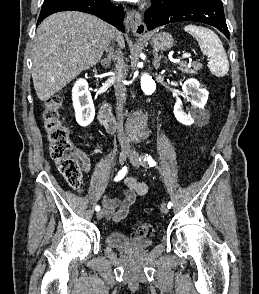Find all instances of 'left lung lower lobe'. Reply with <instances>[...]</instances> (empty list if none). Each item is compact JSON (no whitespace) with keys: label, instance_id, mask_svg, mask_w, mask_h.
<instances>
[{"label":"left lung lower lobe","instance_id":"left-lung-lower-lobe-1","mask_svg":"<svg viewBox=\"0 0 259 294\" xmlns=\"http://www.w3.org/2000/svg\"><path fill=\"white\" fill-rule=\"evenodd\" d=\"M145 12L148 30L179 21H197L212 25L227 38V28L221 0H151Z\"/></svg>","mask_w":259,"mask_h":294}]
</instances>
